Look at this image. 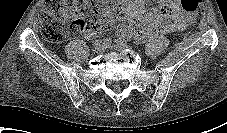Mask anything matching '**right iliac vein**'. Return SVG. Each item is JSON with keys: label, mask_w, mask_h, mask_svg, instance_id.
I'll return each mask as SVG.
<instances>
[{"label": "right iliac vein", "mask_w": 227, "mask_h": 133, "mask_svg": "<svg viewBox=\"0 0 227 133\" xmlns=\"http://www.w3.org/2000/svg\"><path fill=\"white\" fill-rule=\"evenodd\" d=\"M105 49H106V46L101 45V44H97V45L95 46L94 51H95L96 53H102Z\"/></svg>", "instance_id": "obj_1"}]
</instances>
